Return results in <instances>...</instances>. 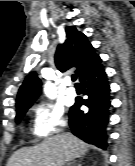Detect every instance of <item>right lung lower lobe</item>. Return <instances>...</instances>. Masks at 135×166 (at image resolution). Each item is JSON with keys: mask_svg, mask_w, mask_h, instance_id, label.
<instances>
[{"mask_svg": "<svg viewBox=\"0 0 135 166\" xmlns=\"http://www.w3.org/2000/svg\"><path fill=\"white\" fill-rule=\"evenodd\" d=\"M100 59L83 72L79 80L84 88L86 100L78 98L69 112V126L74 135L87 143L106 148V125L109 120L110 86ZM81 105L87 110L79 109Z\"/></svg>", "mask_w": 135, "mask_h": 166, "instance_id": "98d812e1", "label": "right lung lower lobe"}]
</instances>
